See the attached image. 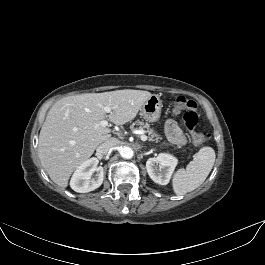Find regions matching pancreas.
<instances>
[{"label":"pancreas","mask_w":265,"mask_h":265,"mask_svg":"<svg viewBox=\"0 0 265 265\" xmlns=\"http://www.w3.org/2000/svg\"><path fill=\"white\" fill-rule=\"evenodd\" d=\"M137 125L140 126L139 127L140 130L146 129V131H147V133L149 135V139L151 141H157L160 138L157 134L154 133V131L152 129H150V126H149L148 123L144 124V123H142V122L139 121L137 123Z\"/></svg>","instance_id":"cf45deb5"}]
</instances>
